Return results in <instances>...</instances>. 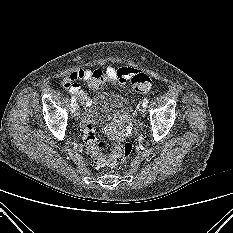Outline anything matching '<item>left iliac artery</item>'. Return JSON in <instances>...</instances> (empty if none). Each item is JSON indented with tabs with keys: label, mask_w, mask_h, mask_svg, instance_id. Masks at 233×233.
I'll return each mask as SVG.
<instances>
[{
	"label": "left iliac artery",
	"mask_w": 233,
	"mask_h": 233,
	"mask_svg": "<svg viewBox=\"0 0 233 233\" xmlns=\"http://www.w3.org/2000/svg\"><path fill=\"white\" fill-rule=\"evenodd\" d=\"M148 103H149V99L148 98H145L144 100H143V106L144 107H147V105H148Z\"/></svg>",
	"instance_id": "1"
}]
</instances>
